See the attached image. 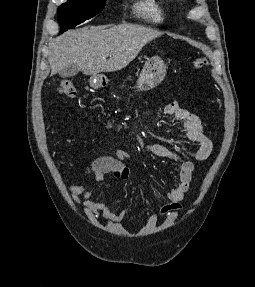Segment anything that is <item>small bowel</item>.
<instances>
[{"mask_svg": "<svg viewBox=\"0 0 255 287\" xmlns=\"http://www.w3.org/2000/svg\"><path fill=\"white\" fill-rule=\"evenodd\" d=\"M160 113L175 116L182 124L185 138L190 142L197 143L198 149L193 154L192 159L183 160L177 152L161 144L150 143L145 146V151L150 155L179 162L177 166L178 181L175 187L166 194L165 203L161 206L159 212L153 213L149 217L148 223L152 225L156 224L159 216L171 215L182 208L181 202L192 179L194 161L208 159L213 150V143L206 136L202 121L197 115L181 108L176 101L166 104ZM129 156V152L122 150L115 152L113 155L100 156L84 170L82 176L93 175L98 182H102L105 175L111 174L117 180H126L129 170L124 164V160ZM70 192L73 201L76 204L83 205L87 217L92 221H97L103 217L114 222H120L127 215L125 210H111L105 203L93 200L92 193L81 185L71 186Z\"/></svg>", "mask_w": 255, "mask_h": 287, "instance_id": "small-bowel-1", "label": "small bowel"}]
</instances>
